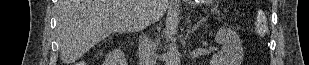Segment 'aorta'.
<instances>
[{"label":"aorta","mask_w":309,"mask_h":65,"mask_svg":"<svg viewBox=\"0 0 309 65\" xmlns=\"http://www.w3.org/2000/svg\"><path fill=\"white\" fill-rule=\"evenodd\" d=\"M177 20L173 19L172 23L169 26L171 34H174L176 31ZM165 64L166 65H180V53L177 49L175 43L169 44L167 53L165 55Z\"/></svg>","instance_id":"obj_1"}]
</instances>
